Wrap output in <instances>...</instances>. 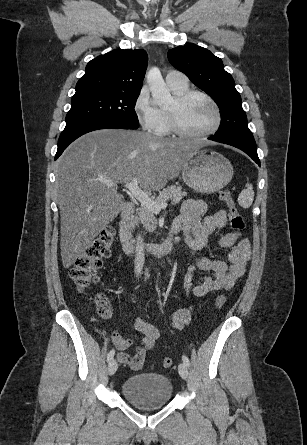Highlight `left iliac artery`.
Here are the masks:
<instances>
[{
    "mask_svg": "<svg viewBox=\"0 0 307 445\" xmlns=\"http://www.w3.org/2000/svg\"><path fill=\"white\" fill-rule=\"evenodd\" d=\"M182 360H183V363H184L187 367L190 366V361H189V359H188L187 356L183 355V356H182Z\"/></svg>",
    "mask_w": 307,
    "mask_h": 445,
    "instance_id": "obj_1",
    "label": "left iliac artery"
}]
</instances>
